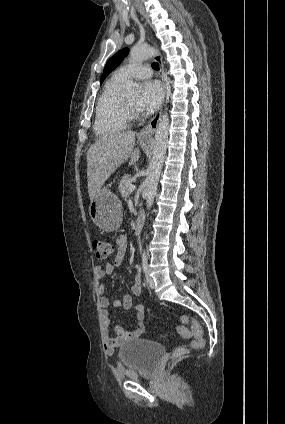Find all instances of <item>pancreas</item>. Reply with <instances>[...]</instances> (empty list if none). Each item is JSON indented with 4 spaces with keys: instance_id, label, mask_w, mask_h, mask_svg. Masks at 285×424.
<instances>
[{
    "instance_id": "cf45deb5",
    "label": "pancreas",
    "mask_w": 285,
    "mask_h": 424,
    "mask_svg": "<svg viewBox=\"0 0 285 424\" xmlns=\"http://www.w3.org/2000/svg\"><path fill=\"white\" fill-rule=\"evenodd\" d=\"M132 185L130 176L124 175L119 182L118 190L123 198H127L131 192L129 191V187Z\"/></svg>"
}]
</instances>
